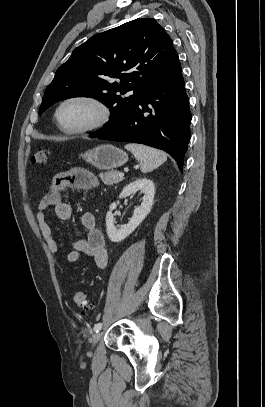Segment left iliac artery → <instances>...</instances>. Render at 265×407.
Returning a JSON list of instances; mask_svg holds the SVG:
<instances>
[{
    "label": "left iliac artery",
    "mask_w": 265,
    "mask_h": 407,
    "mask_svg": "<svg viewBox=\"0 0 265 407\" xmlns=\"http://www.w3.org/2000/svg\"><path fill=\"white\" fill-rule=\"evenodd\" d=\"M102 328V323H97L94 325V331L98 332Z\"/></svg>",
    "instance_id": "obj_1"
}]
</instances>
